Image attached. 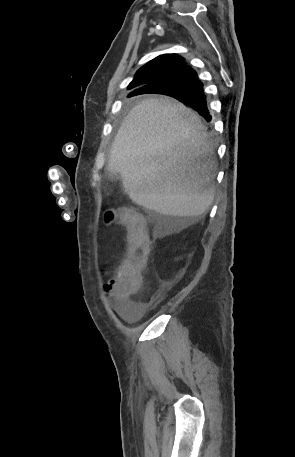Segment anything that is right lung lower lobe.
<instances>
[{
  "label": "right lung lower lobe",
  "mask_w": 295,
  "mask_h": 457,
  "mask_svg": "<svg viewBox=\"0 0 295 457\" xmlns=\"http://www.w3.org/2000/svg\"><path fill=\"white\" fill-rule=\"evenodd\" d=\"M168 89L174 90L172 97L194 108L207 121L211 120L203 93L202 83L198 79L195 70L189 66H186L176 78L167 82L153 84L136 90L130 94V97L145 93H155V91Z\"/></svg>",
  "instance_id": "obj_1"
}]
</instances>
